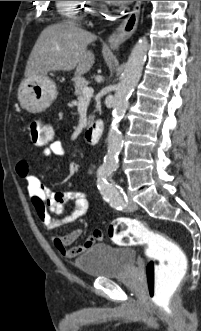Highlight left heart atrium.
<instances>
[{"label":"left heart atrium","instance_id":"1","mask_svg":"<svg viewBox=\"0 0 201 331\" xmlns=\"http://www.w3.org/2000/svg\"><path fill=\"white\" fill-rule=\"evenodd\" d=\"M107 2H109L111 4H114V5H124V4H127V3L131 2V1H107Z\"/></svg>","mask_w":201,"mask_h":331}]
</instances>
